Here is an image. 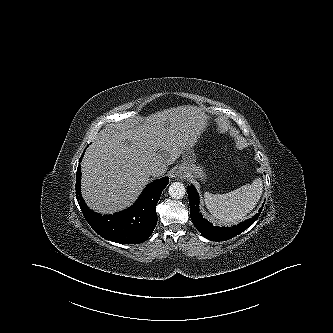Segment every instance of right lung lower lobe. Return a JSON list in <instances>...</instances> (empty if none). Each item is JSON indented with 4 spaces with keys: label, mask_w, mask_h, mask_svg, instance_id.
<instances>
[{
    "label": "right lung lower lobe",
    "mask_w": 333,
    "mask_h": 333,
    "mask_svg": "<svg viewBox=\"0 0 333 333\" xmlns=\"http://www.w3.org/2000/svg\"><path fill=\"white\" fill-rule=\"evenodd\" d=\"M76 179V196L81 211L88 224L100 236L121 244H139L152 234L157 224L156 205L162 190L168 184L167 177L148 184L130 208L114 215L103 216L90 210L82 198L80 166L77 168Z\"/></svg>",
    "instance_id": "obj_1"
}]
</instances>
